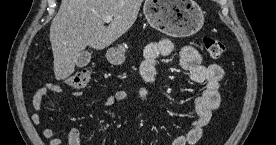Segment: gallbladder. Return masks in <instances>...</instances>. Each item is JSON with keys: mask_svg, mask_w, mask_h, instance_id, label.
Here are the masks:
<instances>
[{"mask_svg": "<svg viewBox=\"0 0 276 145\" xmlns=\"http://www.w3.org/2000/svg\"><path fill=\"white\" fill-rule=\"evenodd\" d=\"M91 60V54L88 51H82L80 52V55L78 57V60L76 62V66L79 68L85 67L89 64Z\"/></svg>", "mask_w": 276, "mask_h": 145, "instance_id": "bac80fb5", "label": "gallbladder"}]
</instances>
